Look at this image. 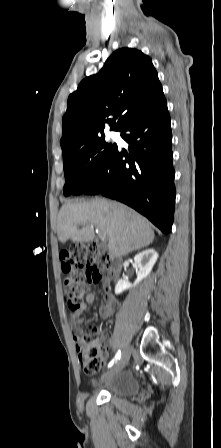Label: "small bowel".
Returning <instances> with one entry per match:
<instances>
[{
  "label": "small bowel",
  "instance_id": "obj_1",
  "mask_svg": "<svg viewBox=\"0 0 221 448\" xmlns=\"http://www.w3.org/2000/svg\"><path fill=\"white\" fill-rule=\"evenodd\" d=\"M94 301H95V295L92 293H89L86 295L81 307L76 310H73L71 312V323H72L73 328L76 331L80 330V325L84 320V316H83L84 311ZM118 306H119V303H118L117 299L114 296L109 295L107 293L105 296L104 303L101 304L99 307L100 317L104 318V319L111 318L113 316L114 312L116 311V309L118 308ZM77 352L80 356L81 354L84 353V349L82 347H77Z\"/></svg>",
  "mask_w": 221,
  "mask_h": 448
}]
</instances>
